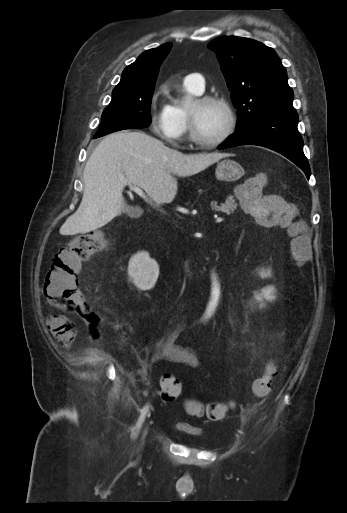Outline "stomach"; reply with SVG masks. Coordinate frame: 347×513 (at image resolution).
Segmentation results:
<instances>
[{"mask_svg": "<svg viewBox=\"0 0 347 513\" xmlns=\"http://www.w3.org/2000/svg\"><path fill=\"white\" fill-rule=\"evenodd\" d=\"M245 174L243 167L237 161L224 159L217 164L215 176L220 181L234 182Z\"/></svg>", "mask_w": 347, "mask_h": 513, "instance_id": "obj_1", "label": "stomach"}]
</instances>
